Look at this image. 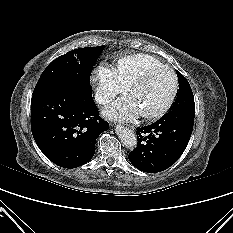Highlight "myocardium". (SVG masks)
<instances>
[{
    "instance_id": "myocardium-1",
    "label": "myocardium",
    "mask_w": 233,
    "mask_h": 233,
    "mask_svg": "<svg viewBox=\"0 0 233 233\" xmlns=\"http://www.w3.org/2000/svg\"><path fill=\"white\" fill-rule=\"evenodd\" d=\"M159 70H166L168 72H170V74L172 75V79H173V85H172V89L171 92L167 98V100L165 101V103L158 108L157 110L150 112V113H141V115L146 118V119H156L159 118L161 116H163L172 106L177 92H178V78L177 75L175 73V71L170 68L169 66L166 65H159V66H152L149 67L147 69H145L143 72H141L129 85H128V90L131 92L136 86H138L139 84L143 83L152 73L159 71Z\"/></svg>"
}]
</instances>
